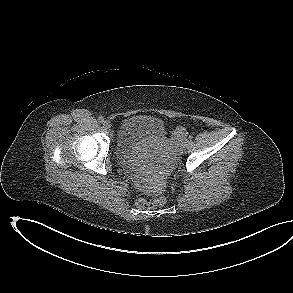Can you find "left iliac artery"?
Wrapping results in <instances>:
<instances>
[{
  "mask_svg": "<svg viewBox=\"0 0 293 293\" xmlns=\"http://www.w3.org/2000/svg\"><path fill=\"white\" fill-rule=\"evenodd\" d=\"M188 138H189V140H191L193 138V136L190 135Z\"/></svg>",
  "mask_w": 293,
  "mask_h": 293,
  "instance_id": "left-iliac-artery-1",
  "label": "left iliac artery"
}]
</instances>
